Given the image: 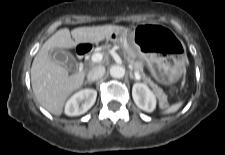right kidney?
Here are the masks:
<instances>
[{
    "mask_svg": "<svg viewBox=\"0 0 225 155\" xmlns=\"http://www.w3.org/2000/svg\"><path fill=\"white\" fill-rule=\"evenodd\" d=\"M97 92L94 89H84L75 93L66 103L65 114L79 116L86 113L95 103Z\"/></svg>",
    "mask_w": 225,
    "mask_h": 155,
    "instance_id": "1",
    "label": "right kidney"
}]
</instances>
